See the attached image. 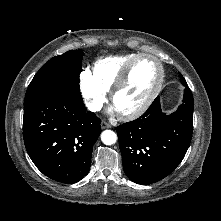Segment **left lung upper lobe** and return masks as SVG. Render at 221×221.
I'll return each instance as SVG.
<instances>
[{"label": "left lung upper lobe", "instance_id": "left-lung-upper-lobe-1", "mask_svg": "<svg viewBox=\"0 0 221 221\" xmlns=\"http://www.w3.org/2000/svg\"><path fill=\"white\" fill-rule=\"evenodd\" d=\"M180 80H181V82L186 83L184 77L181 74H180Z\"/></svg>", "mask_w": 221, "mask_h": 221}]
</instances>
